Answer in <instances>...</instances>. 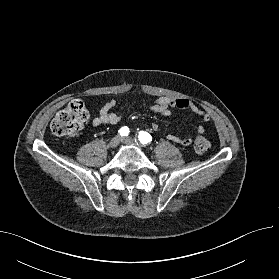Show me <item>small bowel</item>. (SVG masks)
<instances>
[{"mask_svg":"<svg viewBox=\"0 0 279 279\" xmlns=\"http://www.w3.org/2000/svg\"><path fill=\"white\" fill-rule=\"evenodd\" d=\"M115 104L116 103L113 99H110L103 104L98 115L92 121L95 127L115 125L120 121L121 115L112 111ZM147 107L151 112L160 115H169L174 108L187 109L198 115L201 118L202 123H206L210 119L207 112L185 98L159 97L150 102ZM158 128V124H152L153 130H158ZM203 133L204 126L201 124L197 128L196 138L201 137ZM167 138L183 147L189 146L193 142L192 138H180L174 135H168Z\"/></svg>","mask_w":279,"mask_h":279,"instance_id":"1","label":"small bowel"}]
</instances>
